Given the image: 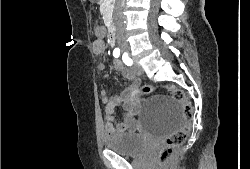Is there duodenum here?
Wrapping results in <instances>:
<instances>
[{
	"label": "duodenum",
	"mask_w": 250,
	"mask_h": 169,
	"mask_svg": "<svg viewBox=\"0 0 250 169\" xmlns=\"http://www.w3.org/2000/svg\"><path fill=\"white\" fill-rule=\"evenodd\" d=\"M109 37H110L111 42L113 44H115L116 41H117V38H116V33H115V31L113 29H111Z\"/></svg>",
	"instance_id": "410a0bca"
}]
</instances>
